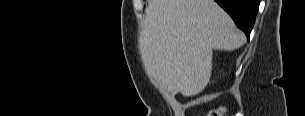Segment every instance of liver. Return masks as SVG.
<instances>
[{
  "label": "liver",
  "mask_w": 305,
  "mask_h": 116,
  "mask_svg": "<svg viewBox=\"0 0 305 116\" xmlns=\"http://www.w3.org/2000/svg\"><path fill=\"white\" fill-rule=\"evenodd\" d=\"M244 42L214 0H150L139 38L148 76L185 97L207 85L213 49L233 51Z\"/></svg>",
  "instance_id": "obj_1"
}]
</instances>
